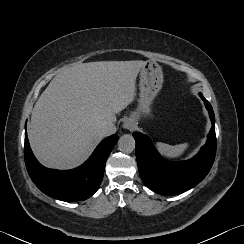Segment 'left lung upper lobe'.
<instances>
[{"label": "left lung upper lobe", "mask_w": 244, "mask_h": 244, "mask_svg": "<svg viewBox=\"0 0 244 244\" xmlns=\"http://www.w3.org/2000/svg\"><path fill=\"white\" fill-rule=\"evenodd\" d=\"M200 96H201V98H202V100L205 102V104H206V106H207V100L203 97V95L200 93Z\"/></svg>", "instance_id": "left-lung-upper-lobe-1"}]
</instances>
